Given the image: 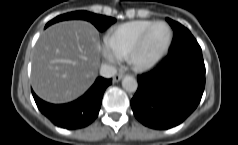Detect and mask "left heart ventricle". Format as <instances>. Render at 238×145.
Wrapping results in <instances>:
<instances>
[{
	"label": "left heart ventricle",
	"instance_id": "left-heart-ventricle-1",
	"mask_svg": "<svg viewBox=\"0 0 238 145\" xmlns=\"http://www.w3.org/2000/svg\"><path fill=\"white\" fill-rule=\"evenodd\" d=\"M168 37V30L165 26L158 25L151 31L144 49L139 55L140 60H147L153 57L165 44Z\"/></svg>",
	"mask_w": 238,
	"mask_h": 145
}]
</instances>
